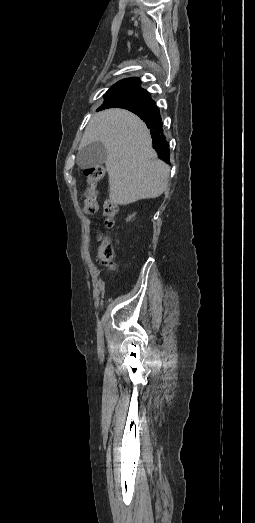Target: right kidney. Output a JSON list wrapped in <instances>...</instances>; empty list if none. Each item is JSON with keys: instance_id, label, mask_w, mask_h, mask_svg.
I'll list each match as a JSON object with an SVG mask.
<instances>
[{"instance_id": "1", "label": "right kidney", "mask_w": 255, "mask_h": 523, "mask_svg": "<svg viewBox=\"0 0 255 523\" xmlns=\"http://www.w3.org/2000/svg\"><path fill=\"white\" fill-rule=\"evenodd\" d=\"M135 214H132V216H128V218H126V222H130V220H132V218H134Z\"/></svg>"}]
</instances>
